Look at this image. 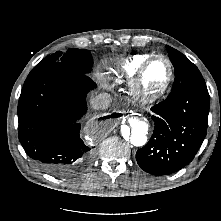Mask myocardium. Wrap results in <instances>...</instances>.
<instances>
[{
  "label": "myocardium",
  "mask_w": 221,
  "mask_h": 221,
  "mask_svg": "<svg viewBox=\"0 0 221 221\" xmlns=\"http://www.w3.org/2000/svg\"><path fill=\"white\" fill-rule=\"evenodd\" d=\"M157 59H162L168 64L169 76H168L166 83L161 89L155 92L147 93L142 89V80L148 67ZM174 74H175L174 65L172 61L170 60V58L161 54L152 55L151 57H149L147 60H145L142 63L137 73L131 79L130 92L132 96L134 97V99L141 104L154 103L160 100L161 98H163L169 92L174 81Z\"/></svg>",
  "instance_id": "obj_1"
}]
</instances>
